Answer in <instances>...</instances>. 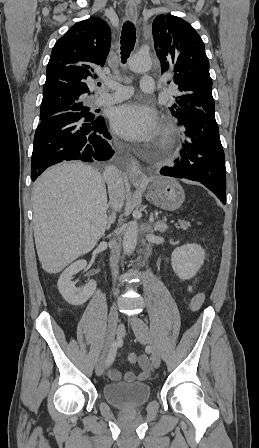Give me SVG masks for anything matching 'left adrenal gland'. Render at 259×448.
Here are the masks:
<instances>
[{
	"mask_svg": "<svg viewBox=\"0 0 259 448\" xmlns=\"http://www.w3.org/2000/svg\"><path fill=\"white\" fill-rule=\"evenodd\" d=\"M153 226L155 232H165V230H167V224H165V222H155Z\"/></svg>",
	"mask_w": 259,
	"mask_h": 448,
	"instance_id": "left-adrenal-gland-1",
	"label": "left adrenal gland"
}]
</instances>
